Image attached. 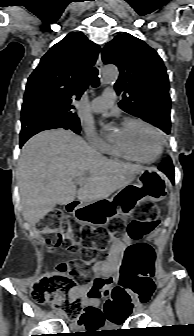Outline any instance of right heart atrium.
<instances>
[{"instance_id": "obj_1", "label": "right heart atrium", "mask_w": 194, "mask_h": 336, "mask_svg": "<svg viewBox=\"0 0 194 336\" xmlns=\"http://www.w3.org/2000/svg\"><path fill=\"white\" fill-rule=\"evenodd\" d=\"M85 136L93 150L103 153L108 151L110 144L101 138L92 127L85 128Z\"/></svg>"}]
</instances>
